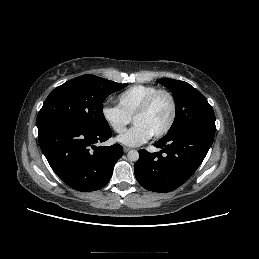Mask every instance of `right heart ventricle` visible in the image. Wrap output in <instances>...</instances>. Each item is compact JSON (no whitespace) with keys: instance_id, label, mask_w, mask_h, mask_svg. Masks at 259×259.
<instances>
[{"instance_id":"obj_1","label":"right heart ventricle","mask_w":259,"mask_h":259,"mask_svg":"<svg viewBox=\"0 0 259 259\" xmlns=\"http://www.w3.org/2000/svg\"><path fill=\"white\" fill-rule=\"evenodd\" d=\"M157 90L159 88L154 85H133L117 96L118 107L123 113L132 118L145 99Z\"/></svg>"}]
</instances>
